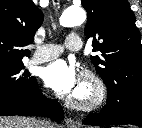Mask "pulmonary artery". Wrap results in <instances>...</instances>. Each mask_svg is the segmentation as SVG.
I'll use <instances>...</instances> for the list:
<instances>
[{
	"instance_id": "1",
	"label": "pulmonary artery",
	"mask_w": 142,
	"mask_h": 128,
	"mask_svg": "<svg viewBox=\"0 0 142 128\" xmlns=\"http://www.w3.org/2000/svg\"><path fill=\"white\" fill-rule=\"evenodd\" d=\"M82 48V40L79 35L71 33L66 37L64 45L45 44L37 47L33 57L30 60L31 65L40 64L58 57L64 49L70 51H79Z\"/></svg>"
}]
</instances>
